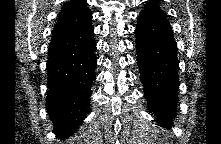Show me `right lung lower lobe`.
I'll use <instances>...</instances> for the list:
<instances>
[{
    "instance_id": "obj_1",
    "label": "right lung lower lobe",
    "mask_w": 221,
    "mask_h": 144,
    "mask_svg": "<svg viewBox=\"0 0 221 144\" xmlns=\"http://www.w3.org/2000/svg\"><path fill=\"white\" fill-rule=\"evenodd\" d=\"M93 34L90 23L49 46L46 110L61 140L76 132L88 113L97 63Z\"/></svg>"
}]
</instances>
